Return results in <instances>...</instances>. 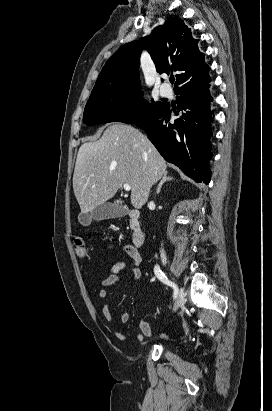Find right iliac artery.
Returning a JSON list of instances; mask_svg holds the SVG:
<instances>
[{"label": "right iliac artery", "mask_w": 272, "mask_h": 411, "mask_svg": "<svg viewBox=\"0 0 272 411\" xmlns=\"http://www.w3.org/2000/svg\"><path fill=\"white\" fill-rule=\"evenodd\" d=\"M154 273L156 275V277L164 284H167L169 286H171L174 290V299H176L177 295H178V287L176 286V284H174L173 282H171L167 276L161 271L159 265H156L154 267Z\"/></svg>", "instance_id": "82829eb1"}]
</instances>
